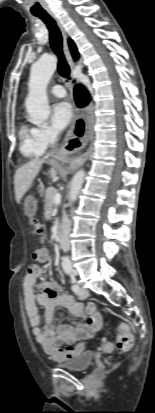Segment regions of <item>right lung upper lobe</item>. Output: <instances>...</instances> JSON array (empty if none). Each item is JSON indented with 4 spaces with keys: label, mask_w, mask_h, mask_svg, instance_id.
I'll return each instance as SVG.
<instances>
[{
    "label": "right lung upper lobe",
    "mask_w": 155,
    "mask_h": 413,
    "mask_svg": "<svg viewBox=\"0 0 155 413\" xmlns=\"http://www.w3.org/2000/svg\"><path fill=\"white\" fill-rule=\"evenodd\" d=\"M69 47H70V50H71V53H72L73 58H74L75 60H77V59H78V56H79V53H78V51H77V48H76L74 42H73L71 39H69Z\"/></svg>",
    "instance_id": "obj_1"
}]
</instances>
